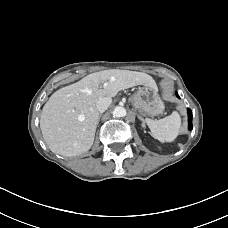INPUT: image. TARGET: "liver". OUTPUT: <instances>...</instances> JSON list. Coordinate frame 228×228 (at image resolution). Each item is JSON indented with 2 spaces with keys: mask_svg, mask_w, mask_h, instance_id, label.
I'll list each match as a JSON object with an SVG mask.
<instances>
[{
  "mask_svg": "<svg viewBox=\"0 0 228 228\" xmlns=\"http://www.w3.org/2000/svg\"><path fill=\"white\" fill-rule=\"evenodd\" d=\"M136 85L157 89L155 80L146 73L110 69L89 74L57 90L44 105L40 118L41 132L49 149L68 157L88 151L99 120L97 101L112 98Z\"/></svg>",
  "mask_w": 228,
  "mask_h": 228,
  "instance_id": "6515ba94",
  "label": "liver"
}]
</instances>
